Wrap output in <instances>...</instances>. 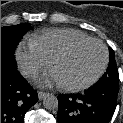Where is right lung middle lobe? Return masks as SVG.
<instances>
[{"mask_svg":"<svg viewBox=\"0 0 123 123\" xmlns=\"http://www.w3.org/2000/svg\"><path fill=\"white\" fill-rule=\"evenodd\" d=\"M29 28L30 26L28 23L1 27V60H4L11 65H16L14 61L15 49L20 39Z\"/></svg>","mask_w":123,"mask_h":123,"instance_id":"obj_1","label":"right lung middle lobe"}]
</instances>
